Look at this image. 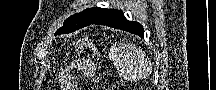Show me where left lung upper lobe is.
I'll use <instances>...</instances> for the list:
<instances>
[{
	"mask_svg": "<svg viewBox=\"0 0 216 90\" xmlns=\"http://www.w3.org/2000/svg\"><path fill=\"white\" fill-rule=\"evenodd\" d=\"M113 11L115 10L99 7L86 9L83 12L70 16L55 34L59 35L74 32L82 27L94 24L95 22L103 19Z\"/></svg>",
	"mask_w": 216,
	"mask_h": 90,
	"instance_id": "left-lung-upper-lobe-1",
	"label": "left lung upper lobe"
}]
</instances>
